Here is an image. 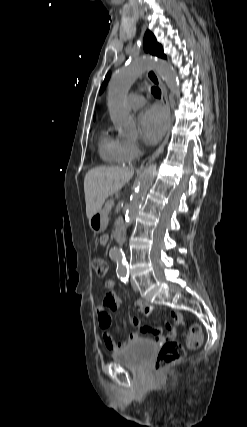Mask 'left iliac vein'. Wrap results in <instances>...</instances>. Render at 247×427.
Instances as JSON below:
<instances>
[{"instance_id": "4c4485c4", "label": "left iliac vein", "mask_w": 247, "mask_h": 427, "mask_svg": "<svg viewBox=\"0 0 247 427\" xmlns=\"http://www.w3.org/2000/svg\"><path fill=\"white\" fill-rule=\"evenodd\" d=\"M131 285H132L133 290H134L135 292H137V291H138L137 283H136L134 280H131Z\"/></svg>"}]
</instances>
